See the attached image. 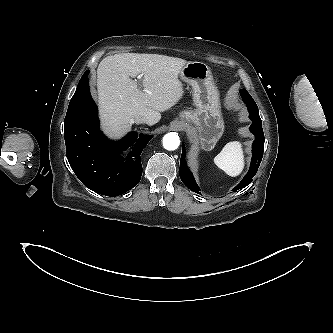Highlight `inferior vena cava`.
I'll return each mask as SVG.
<instances>
[{
    "label": "inferior vena cava",
    "mask_w": 333,
    "mask_h": 333,
    "mask_svg": "<svg viewBox=\"0 0 333 333\" xmlns=\"http://www.w3.org/2000/svg\"><path fill=\"white\" fill-rule=\"evenodd\" d=\"M135 123L137 124H141V123H146V124H149V121L146 117H136L135 120H134Z\"/></svg>",
    "instance_id": "602c4592"
}]
</instances>
